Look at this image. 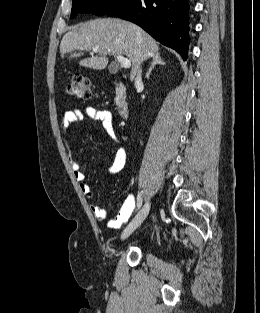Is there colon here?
Masks as SVG:
<instances>
[{
  "label": "colon",
  "instance_id": "1",
  "mask_svg": "<svg viewBox=\"0 0 260 313\" xmlns=\"http://www.w3.org/2000/svg\"><path fill=\"white\" fill-rule=\"evenodd\" d=\"M65 92L68 96L91 99L94 89L89 79L83 76H74L66 85Z\"/></svg>",
  "mask_w": 260,
  "mask_h": 313
}]
</instances>
